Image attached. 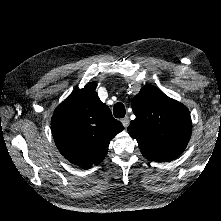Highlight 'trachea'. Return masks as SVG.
<instances>
[{
  "label": "trachea",
  "instance_id": "1",
  "mask_svg": "<svg viewBox=\"0 0 221 221\" xmlns=\"http://www.w3.org/2000/svg\"><path fill=\"white\" fill-rule=\"evenodd\" d=\"M114 116L116 118H123L125 116V107L122 103H117L115 106H114Z\"/></svg>",
  "mask_w": 221,
  "mask_h": 221
}]
</instances>
